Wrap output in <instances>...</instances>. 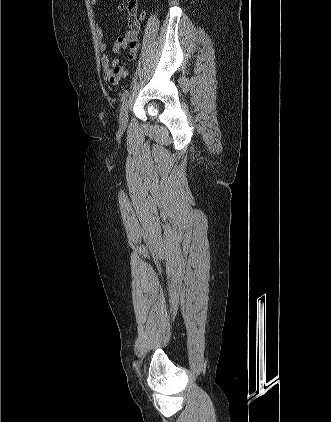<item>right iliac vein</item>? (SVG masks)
Wrapping results in <instances>:
<instances>
[{
  "mask_svg": "<svg viewBox=\"0 0 331 422\" xmlns=\"http://www.w3.org/2000/svg\"><path fill=\"white\" fill-rule=\"evenodd\" d=\"M130 101L127 99L123 102L120 109V126L124 129L127 126L128 122V109Z\"/></svg>",
  "mask_w": 331,
  "mask_h": 422,
  "instance_id": "1",
  "label": "right iliac vein"
}]
</instances>
